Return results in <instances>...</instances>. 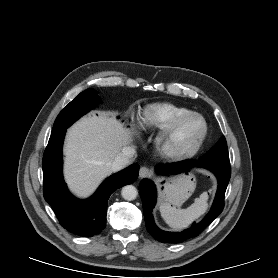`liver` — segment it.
<instances>
[{
    "mask_svg": "<svg viewBox=\"0 0 278 278\" xmlns=\"http://www.w3.org/2000/svg\"><path fill=\"white\" fill-rule=\"evenodd\" d=\"M131 142V132L107 113L76 122L68 130L64 147V174L70 189L80 197L93 193L112 173L111 162Z\"/></svg>",
    "mask_w": 278,
    "mask_h": 278,
    "instance_id": "1",
    "label": "liver"
}]
</instances>
